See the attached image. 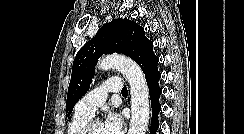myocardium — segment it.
<instances>
[{
  "instance_id": "myocardium-1",
  "label": "myocardium",
  "mask_w": 244,
  "mask_h": 134,
  "mask_svg": "<svg viewBox=\"0 0 244 134\" xmlns=\"http://www.w3.org/2000/svg\"><path fill=\"white\" fill-rule=\"evenodd\" d=\"M101 122L97 119H92L87 122V124L83 127L80 134H92L93 127L96 124H100Z\"/></svg>"
}]
</instances>
